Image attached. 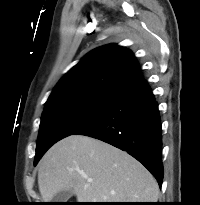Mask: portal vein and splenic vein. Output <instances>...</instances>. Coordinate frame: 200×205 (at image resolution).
<instances>
[{
  "mask_svg": "<svg viewBox=\"0 0 200 205\" xmlns=\"http://www.w3.org/2000/svg\"><path fill=\"white\" fill-rule=\"evenodd\" d=\"M88 181L90 182V181H92L91 179H88Z\"/></svg>",
  "mask_w": 200,
  "mask_h": 205,
  "instance_id": "18ae733b",
  "label": "portal vein and splenic vein"
}]
</instances>
